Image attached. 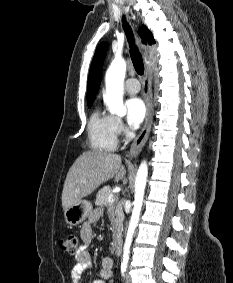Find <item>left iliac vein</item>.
I'll use <instances>...</instances> for the list:
<instances>
[{
    "mask_svg": "<svg viewBox=\"0 0 233 283\" xmlns=\"http://www.w3.org/2000/svg\"><path fill=\"white\" fill-rule=\"evenodd\" d=\"M125 283H131V278L128 274L125 276Z\"/></svg>",
    "mask_w": 233,
    "mask_h": 283,
    "instance_id": "obj_1",
    "label": "left iliac vein"
}]
</instances>
